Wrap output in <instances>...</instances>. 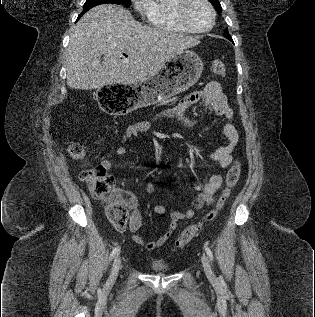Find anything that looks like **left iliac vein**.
<instances>
[{"label": "left iliac vein", "instance_id": "obj_1", "mask_svg": "<svg viewBox=\"0 0 315 317\" xmlns=\"http://www.w3.org/2000/svg\"><path fill=\"white\" fill-rule=\"evenodd\" d=\"M201 263H202V267L204 269V272L206 274V276L209 278V279H215V275L211 269V266H210V263H209V260L207 258L206 255H202L201 257Z\"/></svg>", "mask_w": 315, "mask_h": 317}]
</instances>
